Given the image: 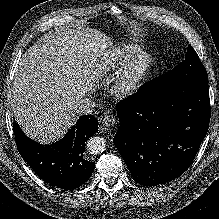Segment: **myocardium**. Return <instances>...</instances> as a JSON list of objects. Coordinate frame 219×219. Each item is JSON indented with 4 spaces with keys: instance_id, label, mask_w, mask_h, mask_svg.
Returning <instances> with one entry per match:
<instances>
[{
    "instance_id": "1",
    "label": "myocardium",
    "mask_w": 219,
    "mask_h": 219,
    "mask_svg": "<svg viewBox=\"0 0 219 219\" xmlns=\"http://www.w3.org/2000/svg\"><path fill=\"white\" fill-rule=\"evenodd\" d=\"M152 60L146 53H138L124 63L114 74L110 83L111 94L119 99L133 94L145 78Z\"/></svg>"
}]
</instances>
